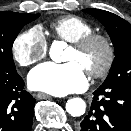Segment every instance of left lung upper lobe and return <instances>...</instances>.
Masks as SVG:
<instances>
[{
  "instance_id": "obj_1",
  "label": "left lung upper lobe",
  "mask_w": 131,
  "mask_h": 131,
  "mask_svg": "<svg viewBox=\"0 0 131 131\" xmlns=\"http://www.w3.org/2000/svg\"><path fill=\"white\" fill-rule=\"evenodd\" d=\"M106 28L114 45L115 59L102 85L131 87V24L119 16L100 9H84Z\"/></svg>"
}]
</instances>
